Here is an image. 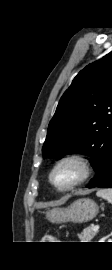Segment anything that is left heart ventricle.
Listing matches in <instances>:
<instances>
[{
	"instance_id": "left-heart-ventricle-1",
	"label": "left heart ventricle",
	"mask_w": 112,
	"mask_h": 270,
	"mask_svg": "<svg viewBox=\"0 0 112 270\" xmlns=\"http://www.w3.org/2000/svg\"><path fill=\"white\" fill-rule=\"evenodd\" d=\"M80 176V169L75 164H65L54 174V182L60 187H64L75 181Z\"/></svg>"
}]
</instances>
